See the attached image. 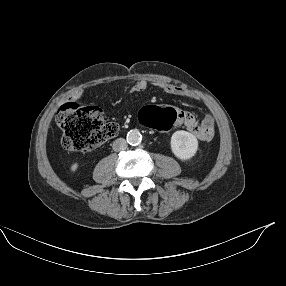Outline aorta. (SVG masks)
Segmentation results:
<instances>
[{
    "label": "aorta",
    "mask_w": 286,
    "mask_h": 286,
    "mask_svg": "<svg viewBox=\"0 0 286 286\" xmlns=\"http://www.w3.org/2000/svg\"><path fill=\"white\" fill-rule=\"evenodd\" d=\"M141 141H142V135L138 130L134 129L128 132L127 142L130 145H134V146L138 145L141 143Z\"/></svg>",
    "instance_id": "obj_1"
}]
</instances>
